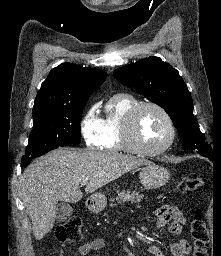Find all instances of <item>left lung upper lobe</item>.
Instances as JSON below:
<instances>
[{
	"instance_id": "5c2ea615",
	"label": "left lung upper lobe",
	"mask_w": 221,
	"mask_h": 256,
	"mask_svg": "<svg viewBox=\"0 0 221 256\" xmlns=\"http://www.w3.org/2000/svg\"><path fill=\"white\" fill-rule=\"evenodd\" d=\"M113 74L122 84L135 88L168 113L185 147L204 157H213L212 148L193 115L191 94L170 64L152 56L118 68Z\"/></svg>"
}]
</instances>
